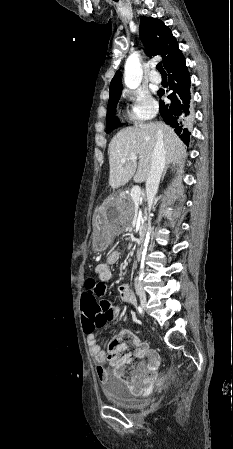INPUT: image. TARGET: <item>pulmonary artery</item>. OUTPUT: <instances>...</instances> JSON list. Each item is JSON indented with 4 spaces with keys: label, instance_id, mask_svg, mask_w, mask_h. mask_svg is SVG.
<instances>
[{
    "label": "pulmonary artery",
    "instance_id": "1",
    "mask_svg": "<svg viewBox=\"0 0 233 449\" xmlns=\"http://www.w3.org/2000/svg\"><path fill=\"white\" fill-rule=\"evenodd\" d=\"M149 79H150L151 82H153L155 84H159L162 81L161 76L156 71H152L150 73Z\"/></svg>",
    "mask_w": 233,
    "mask_h": 449
}]
</instances>
